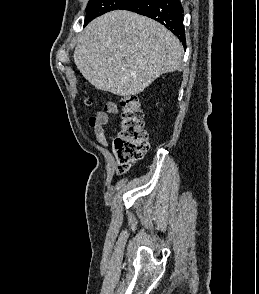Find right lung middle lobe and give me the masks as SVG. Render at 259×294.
<instances>
[{"label": "right lung middle lobe", "mask_w": 259, "mask_h": 294, "mask_svg": "<svg viewBox=\"0 0 259 294\" xmlns=\"http://www.w3.org/2000/svg\"><path fill=\"white\" fill-rule=\"evenodd\" d=\"M134 0H90L86 7L85 25L92 19L109 12L111 10L121 9L124 5Z\"/></svg>", "instance_id": "1"}]
</instances>
